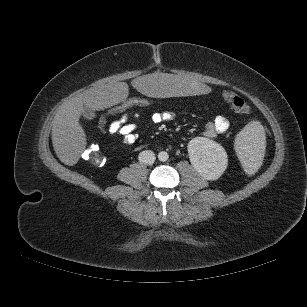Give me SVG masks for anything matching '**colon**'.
Returning <instances> with one entry per match:
<instances>
[{
    "mask_svg": "<svg viewBox=\"0 0 307 307\" xmlns=\"http://www.w3.org/2000/svg\"><path fill=\"white\" fill-rule=\"evenodd\" d=\"M223 99L228 102L231 108L239 114L250 113V107L243 98L234 92L226 91L223 93ZM160 99L151 98L144 95H133L121 101L116 106L110 108L107 113L100 119L99 128L102 132H109V125L116 120H119L135 108L149 107L156 105ZM84 158L91 164L102 166L105 164V157L102 154L98 145L89 143L83 151Z\"/></svg>",
    "mask_w": 307,
    "mask_h": 307,
    "instance_id": "1",
    "label": "colon"
}]
</instances>
